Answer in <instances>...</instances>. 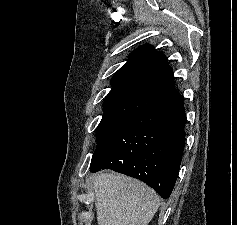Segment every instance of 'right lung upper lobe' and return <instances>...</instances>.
<instances>
[{
	"label": "right lung upper lobe",
	"mask_w": 237,
	"mask_h": 225,
	"mask_svg": "<svg viewBox=\"0 0 237 225\" xmlns=\"http://www.w3.org/2000/svg\"><path fill=\"white\" fill-rule=\"evenodd\" d=\"M126 64L113 76L102 120L127 122L145 110L171 100L180 93L175 89L173 69L164 54L150 44L129 55Z\"/></svg>",
	"instance_id": "cb5924a9"
}]
</instances>
